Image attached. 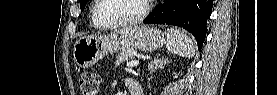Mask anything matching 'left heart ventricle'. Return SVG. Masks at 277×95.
Here are the masks:
<instances>
[{"label":"left heart ventricle","instance_id":"obj_1","mask_svg":"<svg viewBox=\"0 0 277 95\" xmlns=\"http://www.w3.org/2000/svg\"><path fill=\"white\" fill-rule=\"evenodd\" d=\"M141 0H103L97 9V15L105 20L130 19L142 11Z\"/></svg>","mask_w":277,"mask_h":95}]
</instances>
